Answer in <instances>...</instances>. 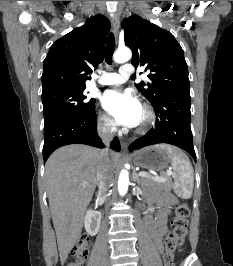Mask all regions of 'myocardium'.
I'll return each instance as SVG.
<instances>
[{"mask_svg": "<svg viewBox=\"0 0 233 266\" xmlns=\"http://www.w3.org/2000/svg\"><path fill=\"white\" fill-rule=\"evenodd\" d=\"M142 109L144 111V121L138 125L136 132L137 133H146L150 128L154 125L156 120V114L154 112V109L147 103H144L142 105Z\"/></svg>", "mask_w": 233, "mask_h": 266, "instance_id": "myocardium-1", "label": "myocardium"}]
</instances>
